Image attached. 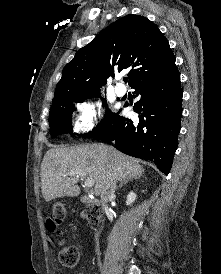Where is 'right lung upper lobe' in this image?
I'll use <instances>...</instances> for the list:
<instances>
[{"instance_id":"cb5924a9","label":"right lung upper lobe","mask_w":221,"mask_h":274,"mask_svg":"<svg viewBox=\"0 0 221 274\" xmlns=\"http://www.w3.org/2000/svg\"><path fill=\"white\" fill-rule=\"evenodd\" d=\"M173 58L168 40L154 23L143 16L126 15L77 51L62 71L53 101L98 95L106 79L123 70L129 71L132 86Z\"/></svg>"}]
</instances>
